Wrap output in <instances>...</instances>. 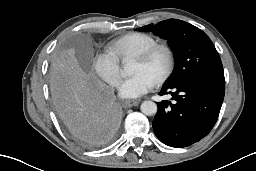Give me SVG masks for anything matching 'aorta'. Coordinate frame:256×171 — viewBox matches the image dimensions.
I'll use <instances>...</instances> for the list:
<instances>
[{
	"mask_svg": "<svg viewBox=\"0 0 256 171\" xmlns=\"http://www.w3.org/2000/svg\"><path fill=\"white\" fill-rule=\"evenodd\" d=\"M124 72L126 74H130V69H129V63L126 62L124 65ZM141 112L146 115V116H152L155 115L157 113V104L153 101H144L141 104Z\"/></svg>",
	"mask_w": 256,
	"mask_h": 171,
	"instance_id": "obj_1",
	"label": "aorta"
}]
</instances>
